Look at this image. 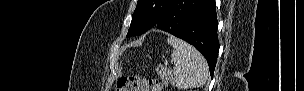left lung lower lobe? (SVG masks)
<instances>
[{
  "mask_svg": "<svg viewBox=\"0 0 304 91\" xmlns=\"http://www.w3.org/2000/svg\"><path fill=\"white\" fill-rule=\"evenodd\" d=\"M155 27L198 49L206 58L213 77L219 52L214 0H174Z\"/></svg>",
  "mask_w": 304,
  "mask_h": 91,
  "instance_id": "obj_1",
  "label": "left lung lower lobe"
}]
</instances>
